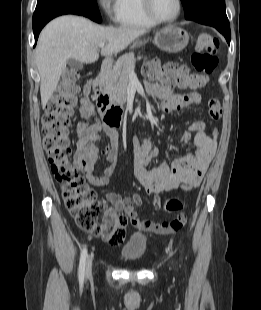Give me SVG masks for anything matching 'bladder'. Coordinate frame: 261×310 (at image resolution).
<instances>
[{
  "mask_svg": "<svg viewBox=\"0 0 261 310\" xmlns=\"http://www.w3.org/2000/svg\"><path fill=\"white\" fill-rule=\"evenodd\" d=\"M147 249V237L143 233H133L121 249V256L128 261L140 260Z\"/></svg>",
  "mask_w": 261,
  "mask_h": 310,
  "instance_id": "bladder-1",
  "label": "bladder"
}]
</instances>
